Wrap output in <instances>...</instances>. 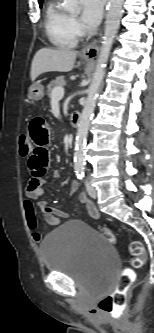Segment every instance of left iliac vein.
Instances as JSON below:
<instances>
[{"mask_svg": "<svg viewBox=\"0 0 154 333\" xmlns=\"http://www.w3.org/2000/svg\"><path fill=\"white\" fill-rule=\"evenodd\" d=\"M85 184H86V190H87L89 196L92 198H96L97 197L96 189L88 181H86Z\"/></svg>", "mask_w": 154, "mask_h": 333, "instance_id": "1", "label": "left iliac vein"}]
</instances>
